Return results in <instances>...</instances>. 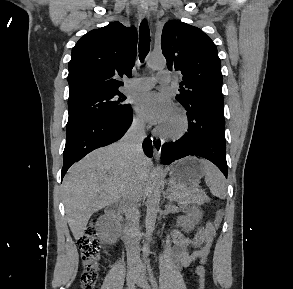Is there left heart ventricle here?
I'll use <instances>...</instances> for the list:
<instances>
[{
  "mask_svg": "<svg viewBox=\"0 0 293 289\" xmlns=\"http://www.w3.org/2000/svg\"><path fill=\"white\" fill-rule=\"evenodd\" d=\"M161 126L166 130H174L179 126V118L176 114L172 113L168 120Z\"/></svg>",
  "mask_w": 293,
  "mask_h": 289,
  "instance_id": "left-heart-ventricle-1",
  "label": "left heart ventricle"
}]
</instances>
